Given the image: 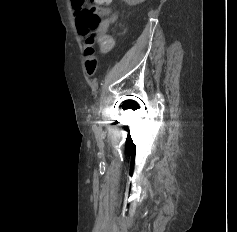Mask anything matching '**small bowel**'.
<instances>
[{
	"mask_svg": "<svg viewBox=\"0 0 237 232\" xmlns=\"http://www.w3.org/2000/svg\"><path fill=\"white\" fill-rule=\"evenodd\" d=\"M98 14H105L106 10L104 8L98 7L96 8ZM114 23V19L106 18L102 22V28L104 31L108 30L112 24ZM85 55V70L88 75H93L96 67H97V59L94 54V48L91 44H87L84 49Z\"/></svg>",
	"mask_w": 237,
	"mask_h": 232,
	"instance_id": "obj_1",
	"label": "small bowel"
}]
</instances>
